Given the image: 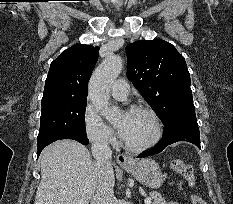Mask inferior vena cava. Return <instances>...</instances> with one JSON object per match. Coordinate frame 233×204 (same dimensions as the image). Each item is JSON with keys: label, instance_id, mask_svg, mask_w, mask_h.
Segmentation results:
<instances>
[{"label": "inferior vena cava", "instance_id": "obj_1", "mask_svg": "<svg viewBox=\"0 0 233 204\" xmlns=\"http://www.w3.org/2000/svg\"><path fill=\"white\" fill-rule=\"evenodd\" d=\"M92 155L96 159L97 165L101 170V176L96 190L94 191L91 204H116L114 196V179L111 174L112 151L104 139H98L93 142Z\"/></svg>", "mask_w": 233, "mask_h": 204}]
</instances>
